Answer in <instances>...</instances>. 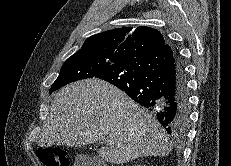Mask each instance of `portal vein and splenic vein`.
I'll list each match as a JSON object with an SVG mask.
<instances>
[{
  "instance_id": "obj_1",
  "label": "portal vein and splenic vein",
  "mask_w": 231,
  "mask_h": 166,
  "mask_svg": "<svg viewBox=\"0 0 231 166\" xmlns=\"http://www.w3.org/2000/svg\"><path fill=\"white\" fill-rule=\"evenodd\" d=\"M101 141H102V142H106V140H105V139H103V138L101 139Z\"/></svg>"
}]
</instances>
